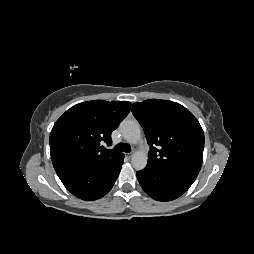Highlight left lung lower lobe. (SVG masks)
Wrapping results in <instances>:
<instances>
[{
	"label": "left lung lower lobe",
	"instance_id": "0a47b994",
	"mask_svg": "<svg viewBox=\"0 0 254 254\" xmlns=\"http://www.w3.org/2000/svg\"><path fill=\"white\" fill-rule=\"evenodd\" d=\"M197 175L161 168L149 163L144 170L137 172V179L143 190L158 201H171L184 194Z\"/></svg>",
	"mask_w": 254,
	"mask_h": 254
}]
</instances>
